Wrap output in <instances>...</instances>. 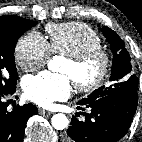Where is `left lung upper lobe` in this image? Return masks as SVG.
I'll return each instance as SVG.
<instances>
[{"mask_svg":"<svg viewBox=\"0 0 142 142\" xmlns=\"http://www.w3.org/2000/svg\"><path fill=\"white\" fill-rule=\"evenodd\" d=\"M103 34L110 43L111 51L114 54L111 70L110 83L93 91L87 98L79 102L85 103L98 98L112 95L128 89H138V79L133 73L131 57L125 49L122 39L110 28L103 27Z\"/></svg>","mask_w":142,"mask_h":142,"instance_id":"1","label":"left lung upper lobe"}]
</instances>
